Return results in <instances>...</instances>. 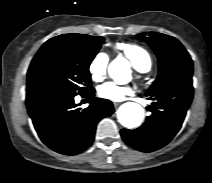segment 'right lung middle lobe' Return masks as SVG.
Returning a JSON list of instances; mask_svg holds the SVG:
<instances>
[{"label": "right lung middle lobe", "mask_w": 212, "mask_h": 183, "mask_svg": "<svg viewBox=\"0 0 212 183\" xmlns=\"http://www.w3.org/2000/svg\"><path fill=\"white\" fill-rule=\"evenodd\" d=\"M103 42V37L85 34L49 39L31 62L27 89L48 87L84 93L91 85L89 65Z\"/></svg>", "instance_id": "dd1d6c3e"}]
</instances>
